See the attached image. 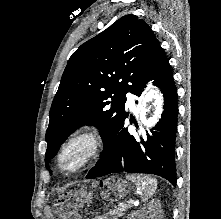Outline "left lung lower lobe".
Wrapping results in <instances>:
<instances>
[{
	"label": "left lung lower lobe",
	"instance_id": "left-lung-lower-lobe-1",
	"mask_svg": "<svg viewBox=\"0 0 221 219\" xmlns=\"http://www.w3.org/2000/svg\"><path fill=\"white\" fill-rule=\"evenodd\" d=\"M154 80L164 96V111L150 131L146 141L136 142L124 124L127 113L120 119L104 147L100 159L86 175L93 179L112 173H147L161 176L176 186L175 138L177 132V90L172 70L164 50L159 47L145 76L134 94L140 96L146 84Z\"/></svg>",
	"mask_w": 221,
	"mask_h": 219
}]
</instances>
